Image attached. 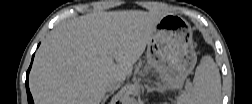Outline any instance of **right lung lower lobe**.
<instances>
[{"label":"right lung lower lobe","mask_w":252,"mask_h":104,"mask_svg":"<svg viewBox=\"0 0 252 104\" xmlns=\"http://www.w3.org/2000/svg\"><path fill=\"white\" fill-rule=\"evenodd\" d=\"M34 57V55H33ZM32 61H33V58H32ZM32 65V63H31ZM31 65L27 71V74H26V90H27V97H28V103L29 104H33V99H32V96H31V93H30V90H29V86H28V76H29V71L31 69Z\"/></svg>","instance_id":"obj_1"}]
</instances>
